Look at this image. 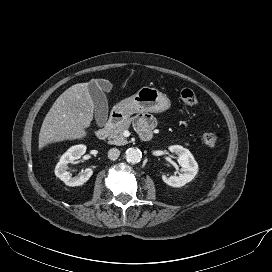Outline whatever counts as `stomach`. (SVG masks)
I'll return each mask as SVG.
<instances>
[{"instance_id":"obj_1","label":"stomach","mask_w":272,"mask_h":272,"mask_svg":"<svg viewBox=\"0 0 272 272\" xmlns=\"http://www.w3.org/2000/svg\"><path fill=\"white\" fill-rule=\"evenodd\" d=\"M171 107L170 99L155 88L142 87L134 95L122 100L114 106L124 118L134 113H160Z\"/></svg>"}]
</instances>
